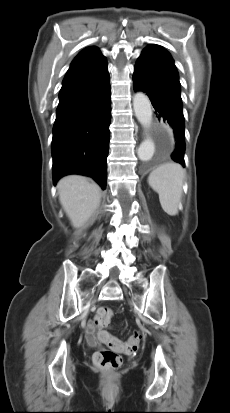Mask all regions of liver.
I'll use <instances>...</instances> for the list:
<instances>
[{"mask_svg":"<svg viewBox=\"0 0 230 413\" xmlns=\"http://www.w3.org/2000/svg\"><path fill=\"white\" fill-rule=\"evenodd\" d=\"M57 188L60 203L75 228L84 225L99 207L101 189L84 176H66Z\"/></svg>","mask_w":230,"mask_h":413,"instance_id":"liver-1","label":"liver"}]
</instances>
